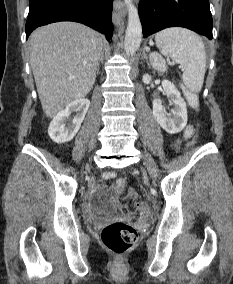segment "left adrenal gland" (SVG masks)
I'll use <instances>...</instances> for the list:
<instances>
[{
	"instance_id": "obj_1",
	"label": "left adrenal gland",
	"mask_w": 233,
	"mask_h": 284,
	"mask_svg": "<svg viewBox=\"0 0 233 284\" xmlns=\"http://www.w3.org/2000/svg\"><path fill=\"white\" fill-rule=\"evenodd\" d=\"M142 59H146V61H147L148 65H149L148 57H147V55H146L145 51H143Z\"/></svg>"
}]
</instances>
